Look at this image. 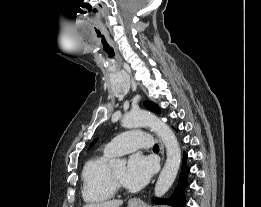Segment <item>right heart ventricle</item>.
Here are the masks:
<instances>
[{"label":"right heart ventricle","instance_id":"right-heart-ventricle-1","mask_svg":"<svg viewBox=\"0 0 261 207\" xmlns=\"http://www.w3.org/2000/svg\"><path fill=\"white\" fill-rule=\"evenodd\" d=\"M113 155L104 151L90 158L82 170V196L88 203L107 201L115 190L109 179V162Z\"/></svg>","mask_w":261,"mask_h":207}]
</instances>
